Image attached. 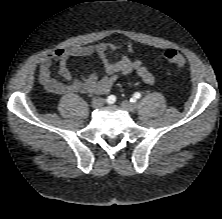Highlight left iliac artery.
Instances as JSON below:
<instances>
[{
    "mask_svg": "<svg viewBox=\"0 0 222 219\" xmlns=\"http://www.w3.org/2000/svg\"><path fill=\"white\" fill-rule=\"evenodd\" d=\"M141 97V94L139 92H136L134 95H133V98L134 99H139Z\"/></svg>",
    "mask_w": 222,
    "mask_h": 219,
    "instance_id": "obj_1",
    "label": "left iliac artery"
}]
</instances>
